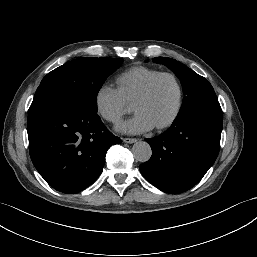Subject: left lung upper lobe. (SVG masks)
I'll return each instance as SVG.
<instances>
[{"label": "left lung upper lobe", "mask_w": 257, "mask_h": 257, "mask_svg": "<svg viewBox=\"0 0 257 257\" xmlns=\"http://www.w3.org/2000/svg\"><path fill=\"white\" fill-rule=\"evenodd\" d=\"M153 61L170 68L181 81L185 97L177 117L183 116L204 104L217 101L211 84L182 63L167 57H156Z\"/></svg>", "instance_id": "1"}]
</instances>
